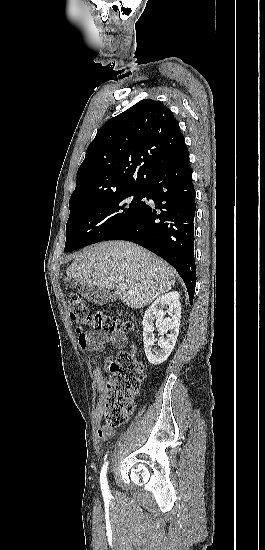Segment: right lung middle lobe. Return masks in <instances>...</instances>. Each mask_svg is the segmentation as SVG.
<instances>
[{"mask_svg":"<svg viewBox=\"0 0 265 550\" xmlns=\"http://www.w3.org/2000/svg\"><path fill=\"white\" fill-rule=\"evenodd\" d=\"M147 189H132L91 200H70L65 252L103 241L146 207Z\"/></svg>","mask_w":265,"mask_h":550,"instance_id":"obj_1","label":"right lung middle lobe"}]
</instances>
